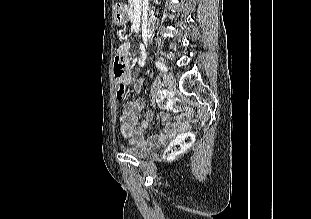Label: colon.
Masks as SVG:
<instances>
[{"label":"colon","mask_w":311,"mask_h":219,"mask_svg":"<svg viewBox=\"0 0 311 219\" xmlns=\"http://www.w3.org/2000/svg\"><path fill=\"white\" fill-rule=\"evenodd\" d=\"M114 77L116 79V96L118 100L124 98L126 94L125 74L127 72V60L124 56H116L113 62ZM161 106L170 109L171 111H179L181 102L177 99L162 98L159 100ZM167 114V113H163ZM195 141V133L188 131L176 138L167 149L168 156H177L184 152Z\"/></svg>","instance_id":"obj_1"}]
</instances>
